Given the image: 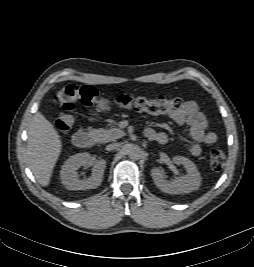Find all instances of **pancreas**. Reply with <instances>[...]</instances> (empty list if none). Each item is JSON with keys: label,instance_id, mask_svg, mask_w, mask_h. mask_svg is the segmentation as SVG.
I'll return each instance as SVG.
<instances>
[{"label": "pancreas", "instance_id": "obj_1", "mask_svg": "<svg viewBox=\"0 0 254 267\" xmlns=\"http://www.w3.org/2000/svg\"><path fill=\"white\" fill-rule=\"evenodd\" d=\"M91 133L99 143L114 141L123 135V132L115 126L110 129H93Z\"/></svg>", "mask_w": 254, "mask_h": 267}]
</instances>
